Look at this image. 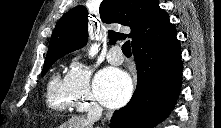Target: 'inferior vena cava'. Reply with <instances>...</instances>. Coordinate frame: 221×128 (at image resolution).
I'll return each instance as SVG.
<instances>
[{
    "mask_svg": "<svg viewBox=\"0 0 221 128\" xmlns=\"http://www.w3.org/2000/svg\"><path fill=\"white\" fill-rule=\"evenodd\" d=\"M101 115L102 108L98 104L94 103L88 109L87 119L89 121L95 122L100 119Z\"/></svg>",
    "mask_w": 221,
    "mask_h": 128,
    "instance_id": "1",
    "label": "inferior vena cava"
}]
</instances>
